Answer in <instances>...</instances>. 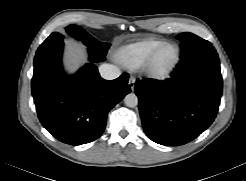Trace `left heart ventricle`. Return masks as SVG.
<instances>
[{"label":"left heart ventricle","mask_w":246,"mask_h":181,"mask_svg":"<svg viewBox=\"0 0 246 181\" xmlns=\"http://www.w3.org/2000/svg\"><path fill=\"white\" fill-rule=\"evenodd\" d=\"M175 57V48L170 47L168 48L160 57L159 59V66L166 67L168 66Z\"/></svg>","instance_id":"b2bd125f"}]
</instances>
